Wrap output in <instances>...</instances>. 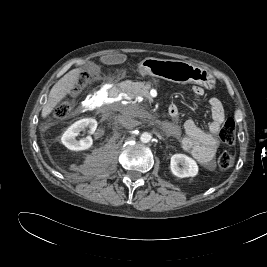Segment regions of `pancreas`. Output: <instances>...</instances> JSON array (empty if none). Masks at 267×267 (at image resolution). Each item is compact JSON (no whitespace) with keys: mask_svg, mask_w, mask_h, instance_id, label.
<instances>
[{"mask_svg":"<svg viewBox=\"0 0 267 267\" xmlns=\"http://www.w3.org/2000/svg\"><path fill=\"white\" fill-rule=\"evenodd\" d=\"M150 89L151 84L149 82H131L127 93L133 98L143 96L147 99H151L149 94Z\"/></svg>","mask_w":267,"mask_h":267,"instance_id":"pancreas-1","label":"pancreas"}]
</instances>
